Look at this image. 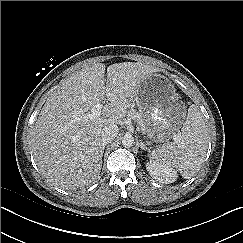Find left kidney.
Segmentation results:
<instances>
[{"label":"left kidney","mask_w":243,"mask_h":243,"mask_svg":"<svg viewBox=\"0 0 243 243\" xmlns=\"http://www.w3.org/2000/svg\"><path fill=\"white\" fill-rule=\"evenodd\" d=\"M146 168L150 176L160 183H172L178 177L177 172L172 168L160 166L152 161L147 163Z\"/></svg>","instance_id":"5707ae66"}]
</instances>
